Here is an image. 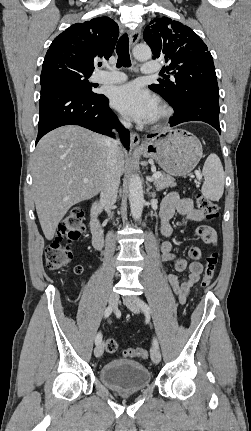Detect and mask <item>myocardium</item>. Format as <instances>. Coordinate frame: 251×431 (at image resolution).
<instances>
[{
  "label": "myocardium",
  "mask_w": 251,
  "mask_h": 431,
  "mask_svg": "<svg viewBox=\"0 0 251 431\" xmlns=\"http://www.w3.org/2000/svg\"><path fill=\"white\" fill-rule=\"evenodd\" d=\"M173 111L172 109L164 103L159 104L157 111L150 121V125L154 129L161 128L163 125H165L170 118L172 117Z\"/></svg>",
  "instance_id": "f54148a6"
}]
</instances>
